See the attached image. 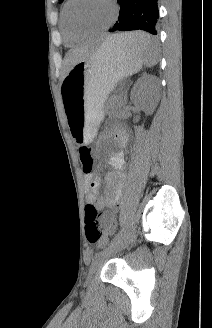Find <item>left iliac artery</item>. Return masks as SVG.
<instances>
[{"mask_svg":"<svg viewBox=\"0 0 212 328\" xmlns=\"http://www.w3.org/2000/svg\"><path fill=\"white\" fill-rule=\"evenodd\" d=\"M125 232H126V229L125 228H123L112 240H111V242L108 244V245H112V244H114L115 242H117V241H119L122 237H123V235L125 234Z\"/></svg>","mask_w":212,"mask_h":328,"instance_id":"obj_1","label":"left iliac artery"}]
</instances>
